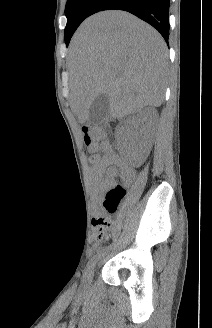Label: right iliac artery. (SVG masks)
Here are the masks:
<instances>
[{
  "label": "right iliac artery",
  "mask_w": 212,
  "mask_h": 328,
  "mask_svg": "<svg viewBox=\"0 0 212 328\" xmlns=\"http://www.w3.org/2000/svg\"><path fill=\"white\" fill-rule=\"evenodd\" d=\"M109 249H99L97 252L93 255V257L90 259L89 263L87 264V267L83 274V280L86 278L89 271L95 266L96 262L104 255V253Z\"/></svg>",
  "instance_id": "1"
}]
</instances>
